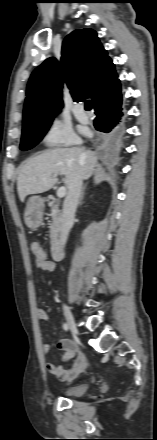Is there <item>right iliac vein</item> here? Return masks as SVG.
I'll return each mask as SVG.
<instances>
[{
	"label": "right iliac vein",
	"instance_id": "right-iliac-vein-1",
	"mask_svg": "<svg viewBox=\"0 0 157 440\" xmlns=\"http://www.w3.org/2000/svg\"><path fill=\"white\" fill-rule=\"evenodd\" d=\"M63 312H64V315H65V318H66L67 325H68L69 329L71 330V332L74 335H77L78 334V328L76 326V323L74 321L73 315H72L69 307L66 306V305H63Z\"/></svg>",
	"mask_w": 157,
	"mask_h": 440
}]
</instances>
